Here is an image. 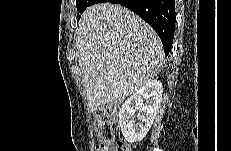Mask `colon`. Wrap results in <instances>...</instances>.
<instances>
[{"label": "colon", "mask_w": 231, "mask_h": 151, "mask_svg": "<svg viewBox=\"0 0 231 151\" xmlns=\"http://www.w3.org/2000/svg\"><path fill=\"white\" fill-rule=\"evenodd\" d=\"M116 111L112 108L100 109L95 113V129L101 144L96 151H131L124 142H117L112 145L114 138V123Z\"/></svg>", "instance_id": "1"}]
</instances>
